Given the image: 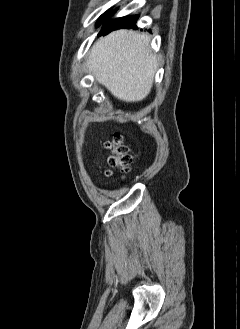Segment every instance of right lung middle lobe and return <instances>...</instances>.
Listing matches in <instances>:
<instances>
[{
	"label": "right lung middle lobe",
	"mask_w": 240,
	"mask_h": 329,
	"mask_svg": "<svg viewBox=\"0 0 240 329\" xmlns=\"http://www.w3.org/2000/svg\"><path fill=\"white\" fill-rule=\"evenodd\" d=\"M109 13H110V11H107L106 13H104V14L100 17V19L98 20L97 25H100V24L106 19V17L108 16Z\"/></svg>",
	"instance_id": "obj_1"
}]
</instances>
